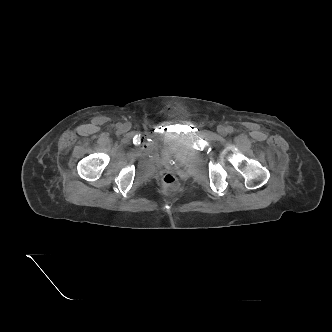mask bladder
<instances>
[{
	"instance_id": "obj_1",
	"label": "bladder",
	"mask_w": 332,
	"mask_h": 332,
	"mask_svg": "<svg viewBox=\"0 0 332 332\" xmlns=\"http://www.w3.org/2000/svg\"><path fill=\"white\" fill-rule=\"evenodd\" d=\"M187 141L183 136H170L165 138L161 144L162 156L180 162L186 152Z\"/></svg>"
}]
</instances>
